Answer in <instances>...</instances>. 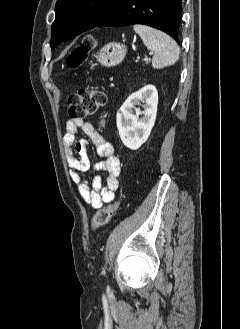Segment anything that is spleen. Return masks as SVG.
I'll use <instances>...</instances> for the list:
<instances>
[{
	"label": "spleen",
	"instance_id": "3e777b00",
	"mask_svg": "<svg viewBox=\"0 0 240 329\" xmlns=\"http://www.w3.org/2000/svg\"><path fill=\"white\" fill-rule=\"evenodd\" d=\"M147 49L154 52L152 67L160 69L175 64L179 59L180 49L177 43L167 34L145 25H134Z\"/></svg>",
	"mask_w": 240,
	"mask_h": 329
}]
</instances>
